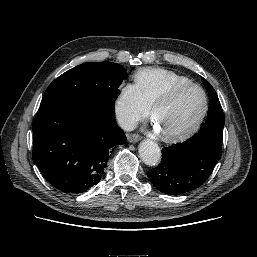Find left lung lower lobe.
<instances>
[{
  "instance_id": "0a47b994",
  "label": "left lung lower lobe",
  "mask_w": 257,
  "mask_h": 257,
  "mask_svg": "<svg viewBox=\"0 0 257 257\" xmlns=\"http://www.w3.org/2000/svg\"><path fill=\"white\" fill-rule=\"evenodd\" d=\"M222 139L210 135L192 136L163 148L161 163L147 172L148 178L158 190L169 195L199 188L220 160Z\"/></svg>"
}]
</instances>
